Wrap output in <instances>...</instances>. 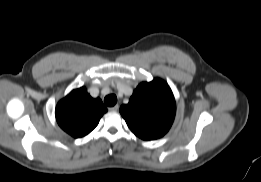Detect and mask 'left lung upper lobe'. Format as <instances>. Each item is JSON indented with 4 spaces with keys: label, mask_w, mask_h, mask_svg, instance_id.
Masks as SVG:
<instances>
[{
    "label": "left lung upper lobe",
    "mask_w": 261,
    "mask_h": 182,
    "mask_svg": "<svg viewBox=\"0 0 261 182\" xmlns=\"http://www.w3.org/2000/svg\"><path fill=\"white\" fill-rule=\"evenodd\" d=\"M175 112L173 93L168 84L159 78L140 83L129 103L120 107L130 130L143 140L164 136L174 121Z\"/></svg>",
    "instance_id": "left-lung-upper-lobe-1"
}]
</instances>
